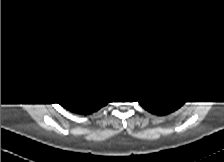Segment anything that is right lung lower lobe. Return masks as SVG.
<instances>
[{
	"instance_id": "right-lung-lower-lobe-1",
	"label": "right lung lower lobe",
	"mask_w": 224,
	"mask_h": 162,
	"mask_svg": "<svg viewBox=\"0 0 224 162\" xmlns=\"http://www.w3.org/2000/svg\"><path fill=\"white\" fill-rule=\"evenodd\" d=\"M101 105L95 107L93 110H89V112H83V111H74V112H79V113H82V114H86V113H91L93 111H95L96 109H98Z\"/></svg>"
}]
</instances>
